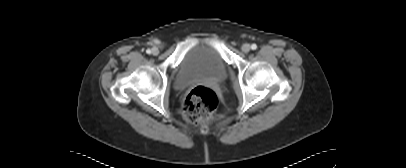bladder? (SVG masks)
<instances>
[{
  "label": "bladder",
  "mask_w": 406,
  "mask_h": 168,
  "mask_svg": "<svg viewBox=\"0 0 406 168\" xmlns=\"http://www.w3.org/2000/svg\"><path fill=\"white\" fill-rule=\"evenodd\" d=\"M226 78L227 66L217 50L208 45H197L182 58L174 86L184 89L198 80L220 82Z\"/></svg>",
  "instance_id": "31cf9c89"
}]
</instances>
